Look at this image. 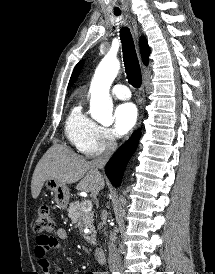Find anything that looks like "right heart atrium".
I'll return each mask as SVG.
<instances>
[{
    "label": "right heart atrium",
    "mask_w": 215,
    "mask_h": 274,
    "mask_svg": "<svg viewBox=\"0 0 215 274\" xmlns=\"http://www.w3.org/2000/svg\"><path fill=\"white\" fill-rule=\"evenodd\" d=\"M115 147L116 139L113 131L107 127L96 125L81 152L87 156H97L111 151Z\"/></svg>",
    "instance_id": "d8ad5b80"
}]
</instances>
